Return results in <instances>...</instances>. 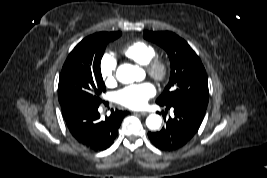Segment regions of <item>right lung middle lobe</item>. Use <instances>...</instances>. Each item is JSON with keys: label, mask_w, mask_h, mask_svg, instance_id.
I'll use <instances>...</instances> for the list:
<instances>
[{"label": "right lung middle lobe", "mask_w": 267, "mask_h": 178, "mask_svg": "<svg viewBox=\"0 0 267 178\" xmlns=\"http://www.w3.org/2000/svg\"><path fill=\"white\" fill-rule=\"evenodd\" d=\"M120 35L121 32L90 35L70 52L59 78L60 104L71 99L102 102L100 95L106 88L100 70L101 58L107 44Z\"/></svg>", "instance_id": "dd1d6c3e"}]
</instances>
